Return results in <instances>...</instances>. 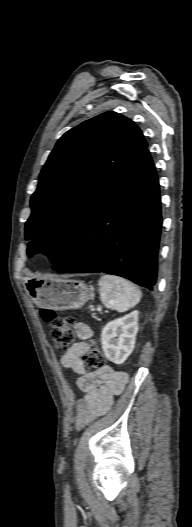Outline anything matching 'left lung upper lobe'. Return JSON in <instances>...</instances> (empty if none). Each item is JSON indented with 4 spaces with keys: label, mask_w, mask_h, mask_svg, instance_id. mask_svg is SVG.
<instances>
[{
    "label": "left lung upper lobe",
    "mask_w": 192,
    "mask_h": 527,
    "mask_svg": "<svg viewBox=\"0 0 192 527\" xmlns=\"http://www.w3.org/2000/svg\"><path fill=\"white\" fill-rule=\"evenodd\" d=\"M147 143L137 125L105 112L67 131L57 142L31 197L28 255L43 251L56 264L122 173Z\"/></svg>",
    "instance_id": "1"
}]
</instances>
